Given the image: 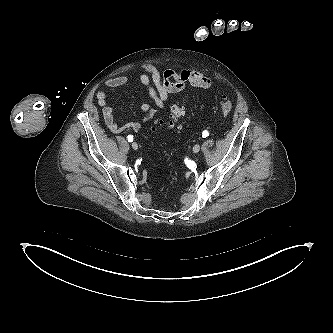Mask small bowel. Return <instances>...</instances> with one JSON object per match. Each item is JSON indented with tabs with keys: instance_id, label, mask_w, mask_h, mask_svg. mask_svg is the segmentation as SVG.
<instances>
[{
	"instance_id": "c3829d8e",
	"label": "small bowel",
	"mask_w": 333,
	"mask_h": 333,
	"mask_svg": "<svg viewBox=\"0 0 333 333\" xmlns=\"http://www.w3.org/2000/svg\"><path fill=\"white\" fill-rule=\"evenodd\" d=\"M133 77L134 76L131 75L113 77L108 79L105 85L111 89L119 88L129 83ZM135 77L145 86L148 96L158 108H164L169 100V96L183 90L186 85H191L200 90H206L213 84L210 77L199 71L190 69L181 72L166 70L161 73L152 63H146L141 66ZM96 99L99 106L102 107L104 123L112 133L120 134L129 129L137 132L142 128L141 122L119 124L115 120L114 111L108 103V96L105 91H98ZM141 110L144 112L142 122L150 120L156 114V111L151 108L148 102H144L141 105Z\"/></svg>"
}]
</instances>
